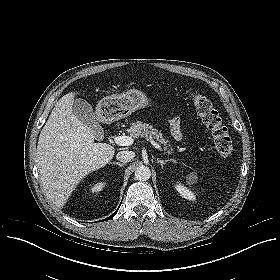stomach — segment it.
<instances>
[{"label": "stomach", "mask_w": 280, "mask_h": 280, "mask_svg": "<svg viewBox=\"0 0 280 280\" xmlns=\"http://www.w3.org/2000/svg\"><path fill=\"white\" fill-rule=\"evenodd\" d=\"M150 105V99L138 89L104 97L98 103L99 112L108 120L125 118L132 112Z\"/></svg>", "instance_id": "0dacf381"}]
</instances>
